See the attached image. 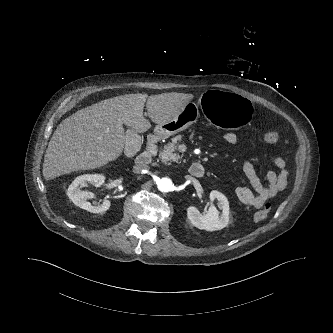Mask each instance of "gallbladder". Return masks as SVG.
<instances>
[{
  "instance_id": "gallbladder-1",
  "label": "gallbladder",
  "mask_w": 333,
  "mask_h": 333,
  "mask_svg": "<svg viewBox=\"0 0 333 333\" xmlns=\"http://www.w3.org/2000/svg\"><path fill=\"white\" fill-rule=\"evenodd\" d=\"M126 136H127V147L132 145L137 147V149L140 147L141 138L134 130L129 129L127 131Z\"/></svg>"
}]
</instances>
